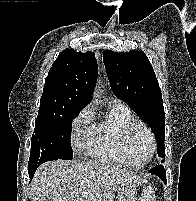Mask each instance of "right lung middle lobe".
Instances as JSON below:
<instances>
[{"mask_svg":"<svg viewBox=\"0 0 196 201\" xmlns=\"http://www.w3.org/2000/svg\"><path fill=\"white\" fill-rule=\"evenodd\" d=\"M80 110L75 108L64 112L38 113L31 140L28 168L50 160L73 158L70 127Z\"/></svg>","mask_w":196,"mask_h":201,"instance_id":"right-lung-middle-lobe-1","label":"right lung middle lobe"}]
</instances>
